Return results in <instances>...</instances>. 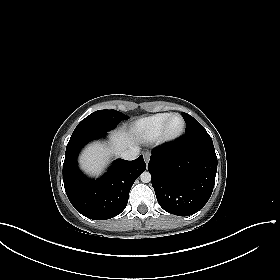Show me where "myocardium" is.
Listing matches in <instances>:
<instances>
[{
	"label": "myocardium",
	"mask_w": 280,
	"mask_h": 280,
	"mask_svg": "<svg viewBox=\"0 0 280 280\" xmlns=\"http://www.w3.org/2000/svg\"><path fill=\"white\" fill-rule=\"evenodd\" d=\"M174 117H179L182 120V127L176 134H169L168 126H169L171 119ZM185 128H186L185 118L181 114H178V113L171 114L161 128L160 135L158 137L159 142L168 144V143H172V142L178 140L184 134Z\"/></svg>",
	"instance_id": "myocardium-1"
}]
</instances>
